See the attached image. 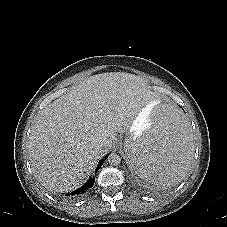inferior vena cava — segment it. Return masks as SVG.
<instances>
[{
  "mask_svg": "<svg viewBox=\"0 0 227 227\" xmlns=\"http://www.w3.org/2000/svg\"><path fill=\"white\" fill-rule=\"evenodd\" d=\"M104 145H105L104 142H97L94 144V147H95V149L98 150V149L102 148Z\"/></svg>",
  "mask_w": 227,
  "mask_h": 227,
  "instance_id": "602c4592",
  "label": "inferior vena cava"
}]
</instances>
